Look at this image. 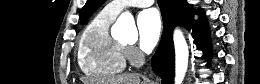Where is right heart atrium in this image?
I'll return each instance as SVG.
<instances>
[{
	"mask_svg": "<svg viewBox=\"0 0 260 84\" xmlns=\"http://www.w3.org/2000/svg\"><path fill=\"white\" fill-rule=\"evenodd\" d=\"M125 56L132 64L139 63L142 58L141 53L134 47H126Z\"/></svg>",
	"mask_w": 260,
	"mask_h": 84,
	"instance_id": "d8ad5b80",
	"label": "right heart atrium"
}]
</instances>
